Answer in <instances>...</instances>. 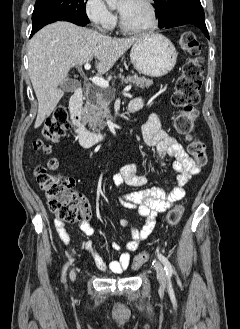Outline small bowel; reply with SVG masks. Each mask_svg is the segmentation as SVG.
Wrapping results in <instances>:
<instances>
[{"instance_id": "c3829d8e", "label": "small bowel", "mask_w": 240, "mask_h": 329, "mask_svg": "<svg viewBox=\"0 0 240 329\" xmlns=\"http://www.w3.org/2000/svg\"><path fill=\"white\" fill-rule=\"evenodd\" d=\"M133 101L138 106V110L145 105V100L141 97ZM142 139L147 147L155 150L162 168L166 167L168 157L173 158L172 167L177 172L175 185L170 190L162 187H150L119 196L120 204L125 208L136 210L145 219V222L142 228L138 229L128 219L120 221L121 226L129 230L131 239L126 243V251L108 264L103 260L94 242L83 241L81 248L90 253L95 265L102 271L109 270L120 274L128 268L131 260L130 252L136 250L150 235L155 227L158 214L165 212L184 198L185 186L191 177L200 171L199 166L187 154L178 140L163 129L158 113H153L143 125ZM111 181L114 186L126 184L136 188H143L149 182L136 163L124 165L118 173L113 175ZM54 224L61 241L68 244L69 235L65 224L58 220ZM79 227L87 236L95 233V229L91 225V207L87 202L81 204ZM111 246L113 250L121 251V245L118 242H112Z\"/></svg>"}]
</instances>
